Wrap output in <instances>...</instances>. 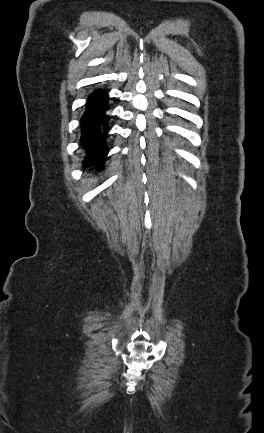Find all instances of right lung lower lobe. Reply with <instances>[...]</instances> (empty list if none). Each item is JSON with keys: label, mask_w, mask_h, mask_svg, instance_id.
<instances>
[{"label": "right lung lower lobe", "mask_w": 264, "mask_h": 433, "mask_svg": "<svg viewBox=\"0 0 264 433\" xmlns=\"http://www.w3.org/2000/svg\"><path fill=\"white\" fill-rule=\"evenodd\" d=\"M108 94L102 89L94 90L87 98L81 118V142L86 150L84 166L102 161L108 153L105 143L108 126Z\"/></svg>", "instance_id": "1"}]
</instances>
